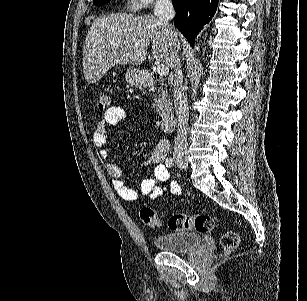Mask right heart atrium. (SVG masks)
I'll return each instance as SVG.
<instances>
[{
  "instance_id": "right-heart-atrium-1",
  "label": "right heart atrium",
  "mask_w": 307,
  "mask_h": 301,
  "mask_svg": "<svg viewBox=\"0 0 307 301\" xmlns=\"http://www.w3.org/2000/svg\"><path fill=\"white\" fill-rule=\"evenodd\" d=\"M134 4H140L141 7H148L149 4H152L153 0H133Z\"/></svg>"
}]
</instances>
